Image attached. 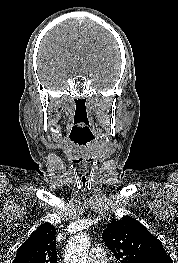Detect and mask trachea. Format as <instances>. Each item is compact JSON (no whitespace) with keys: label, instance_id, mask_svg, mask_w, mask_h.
I'll use <instances>...</instances> for the list:
<instances>
[{"label":"trachea","instance_id":"3493384b","mask_svg":"<svg viewBox=\"0 0 178 263\" xmlns=\"http://www.w3.org/2000/svg\"><path fill=\"white\" fill-rule=\"evenodd\" d=\"M82 182H83V185H85V182H86V178L85 177H83Z\"/></svg>","mask_w":178,"mask_h":263}]
</instances>
